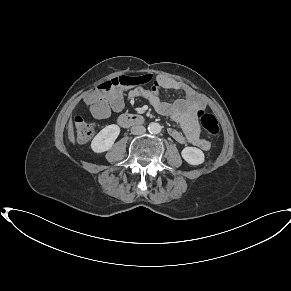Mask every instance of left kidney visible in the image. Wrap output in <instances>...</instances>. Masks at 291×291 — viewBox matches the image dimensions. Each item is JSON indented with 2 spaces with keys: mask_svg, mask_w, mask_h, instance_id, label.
<instances>
[{
  "mask_svg": "<svg viewBox=\"0 0 291 291\" xmlns=\"http://www.w3.org/2000/svg\"><path fill=\"white\" fill-rule=\"evenodd\" d=\"M181 155L183 159L190 165H200L204 162V153L196 147H185Z\"/></svg>",
  "mask_w": 291,
  "mask_h": 291,
  "instance_id": "5707ae66",
  "label": "left kidney"
}]
</instances>
